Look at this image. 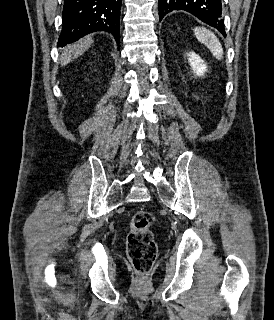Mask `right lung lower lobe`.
Returning <instances> with one entry per match:
<instances>
[{"instance_id":"98d812e1","label":"right lung lower lobe","mask_w":274,"mask_h":320,"mask_svg":"<svg viewBox=\"0 0 274 320\" xmlns=\"http://www.w3.org/2000/svg\"><path fill=\"white\" fill-rule=\"evenodd\" d=\"M121 3L122 0H64L58 46L102 30L111 33L119 43Z\"/></svg>"}]
</instances>
